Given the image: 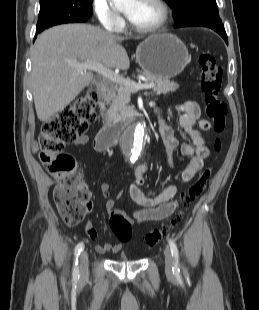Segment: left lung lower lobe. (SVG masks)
<instances>
[{
  "mask_svg": "<svg viewBox=\"0 0 259 310\" xmlns=\"http://www.w3.org/2000/svg\"><path fill=\"white\" fill-rule=\"evenodd\" d=\"M195 26H202V25L190 24V25H185V26H180V27H195ZM203 27H208V26H203ZM208 28H211L214 31H216L218 34H220L222 38L225 40V42L228 44V38H227V34L224 28H215V27H208Z\"/></svg>",
  "mask_w": 259,
  "mask_h": 310,
  "instance_id": "obj_1",
  "label": "left lung lower lobe"
}]
</instances>
